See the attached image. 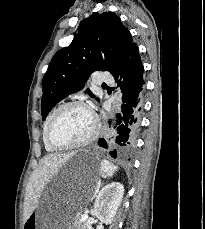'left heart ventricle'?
Returning a JSON list of instances; mask_svg holds the SVG:
<instances>
[{"instance_id": "obj_1", "label": "left heart ventricle", "mask_w": 205, "mask_h": 229, "mask_svg": "<svg viewBox=\"0 0 205 229\" xmlns=\"http://www.w3.org/2000/svg\"><path fill=\"white\" fill-rule=\"evenodd\" d=\"M93 118L81 107H70L58 118L52 130L53 140L60 145L85 139L93 129Z\"/></svg>"}]
</instances>
